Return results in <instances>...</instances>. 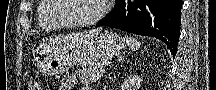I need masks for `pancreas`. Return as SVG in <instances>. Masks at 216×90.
Listing matches in <instances>:
<instances>
[{"mask_svg":"<svg viewBox=\"0 0 216 90\" xmlns=\"http://www.w3.org/2000/svg\"><path fill=\"white\" fill-rule=\"evenodd\" d=\"M96 72H98V67H89L88 70H80L77 74L81 82H92Z\"/></svg>","mask_w":216,"mask_h":90,"instance_id":"obj_1","label":"pancreas"}]
</instances>
